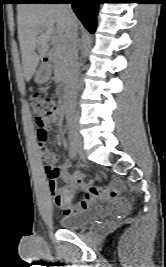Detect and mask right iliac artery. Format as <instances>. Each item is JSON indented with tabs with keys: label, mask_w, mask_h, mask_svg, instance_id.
<instances>
[{
	"label": "right iliac artery",
	"mask_w": 166,
	"mask_h": 267,
	"mask_svg": "<svg viewBox=\"0 0 166 267\" xmlns=\"http://www.w3.org/2000/svg\"><path fill=\"white\" fill-rule=\"evenodd\" d=\"M69 150H70L71 158L75 159L78 151H77L75 144L73 143V141L71 139H70V143H69Z\"/></svg>",
	"instance_id": "right-iliac-artery-1"
}]
</instances>
